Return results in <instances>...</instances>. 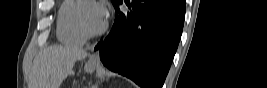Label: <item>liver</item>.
Segmentation results:
<instances>
[{"label":"liver","instance_id":"obj_1","mask_svg":"<svg viewBox=\"0 0 267 88\" xmlns=\"http://www.w3.org/2000/svg\"><path fill=\"white\" fill-rule=\"evenodd\" d=\"M87 52L78 47L53 45L43 49L34 59L29 88H59L68 75H73L77 60Z\"/></svg>","mask_w":267,"mask_h":88}]
</instances>
